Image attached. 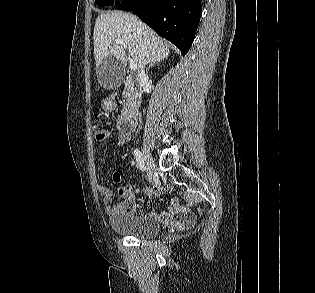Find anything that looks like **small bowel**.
<instances>
[{
	"label": "small bowel",
	"instance_id": "obj_1",
	"mask_svg": "<svg viewBox=\"0 0 315 293\" xmlns=\"http://www.w3.org/2000/svg\"><path fill=\"white\" fill-rule=\"evenodd\" d=\"M129 140V134L119 133L118 135L111 138L112 143L123 145ZM128 190H122L121 197H123L124 202L112 203V190L100 182H97V189L102 195L103 202L108 213H118L131 211L134 213H142V209L138 207L134 202L135 189L131 185L124 186ZM164 187L161 185L153 186V194L156 196H161L164 193ZM157 217L163 223L167 225H173L178 229H183L192 226L195 221V215L186 207H184L178 197L173 198L166 211L161 212L158 215L152 214Z\"/></svg>",
	"mask_w": 315,
	"mask_h": 293
}]
</instances>
